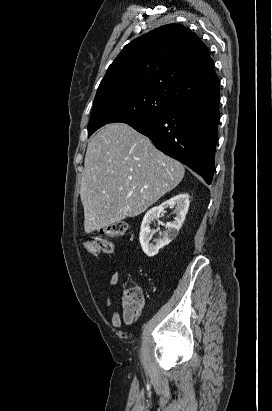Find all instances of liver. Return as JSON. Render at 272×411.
<instances>
[{"instance_id":"obj_1","label":"liver","mask_w":272,"mask_h":411,"mask_svg":"<svg viewBox=\"0 0 272 411\" xmlns=\"http://www.w3.org/2000/svg\"><path fill=\"white\" fill-rule=\"evenodd\" d=\"M84 167L80 197L86 233L145 212L185 173L180 162L124 123L108 124L89 140Z\"/></svg>"}]
</instances>
